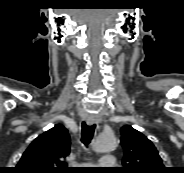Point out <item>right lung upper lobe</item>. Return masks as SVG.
I'll list each match as a JSON object with an SVG mask.
<instances>
[{
	"mask_svg": "<svg viewBox=\"0 0 184 173\" xmlns=\"http://www.w3.org/2000/svg\"><path fill=\"white\" fill-rule=\"evenodd\" d=\"M70 153V137L63 125L38 136L22 155L16 173H68L64 159Z\"/></svg>",
	"mask_w": 184,
	"mask_h": 173,
	"instance_id": "cb5924a9",
	"label": "right lung upper lobe"
}]
</instances>
